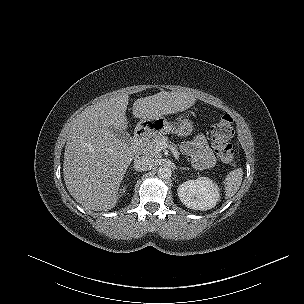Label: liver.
Wrapping results in <instances>:
<instances>
[{"instance_id": "6515ba94", "label": "liver", "mask_w": 304, "mask_h": 304, "mask_svg": "<svg viewBox=\"0 0 304 304\" xmlns=\"http://www.w3.org/2000/svg\"><path fill=\"white\" fill-rule=\"evenodd\" d=\"M128 95L101 101L77 119L65 147L63 174L71 196L87 211H108L119 199V186L133 159L128 135ZM196 102L193 95L159 93L137 99L133 115L140 122L182 112Z\"/></svg>"}]
</instances>
